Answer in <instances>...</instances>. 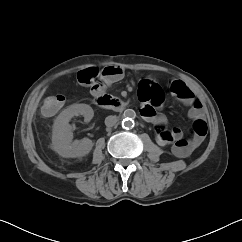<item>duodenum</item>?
Wrapping results in <instances>:
<instances>
[{"label": "duodenum", "mask_w": 242, "mask_h": 242, "mask_svg": "<svg viewBox=\"0 0 242 242\" xmlns=\"http://www.w3.org/2000/svg\"><path fill=\"white\" fill-rule=\"evenodd\" d=\"M94 103L103 109H112V110H124L127 107L126 102L123 100L111 97L104 93H96L93 96Z\"/></svg>", "instance_id": "obj_1"}]
</instances>
